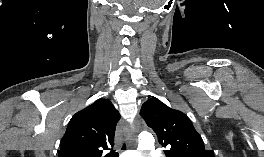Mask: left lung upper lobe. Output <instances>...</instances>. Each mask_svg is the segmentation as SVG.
<instances>
[{
  "label": "left lung upper lobe",
  "instance_id": "left-lung-upper-lobe-1",
  "mask_svg": "<svg viewBox=\"0 0 264 157\" xmlns=\"http://www.w3.org/2000/svg\"><path fill=\"white\" fill-rule=\"evenodd\" d=\"M140 114L157 134L159 143L168 148L164 151L167 157H214L184 113L151 98L142 105Z\"/></svg>",
  "mask_w": 264,
  "mask_h": 157
}]
</instances>
